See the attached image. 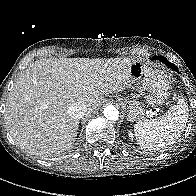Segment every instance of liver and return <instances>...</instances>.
Masks as SVG:
<instances>
[{"label": "liver", "instance_id": "liver-1", "mask_svg": "<svg viewBox=\"0 0 196 196\" xmlns=\"http://www.w3.org/2000/svg\"><path fill=\"white\" fill-rule=\"evenodd\" d=\"M128 58H50L22 71L9 93L4 120L13 140L27 153L45 157L69 149L79 121L68 114L74 103L88 112L104 102V95L130 85Z\"/></svg>", "mask_w": 196, "mask_h": 196}]
</instances>
